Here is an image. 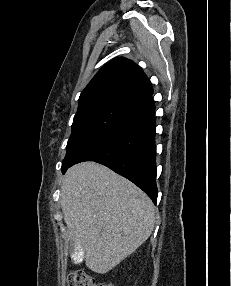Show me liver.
Returning a JSON list of instances; mask_svg holds the SVG:
<instances>
[{"mask_svg": "<svg viewBox=\"0 0 231 286\" xmlns=\"http://www.w3.org/2000/svg\"><path fill=\"white\" fill-rule=\"evenodd\" d=\"M60 203L69 236L86 266L107 273L151 235L155 207L136 185L94 162L71 167L61 185Z\"/></svg>", "mask_w": 231, "mask_h": 286, "instance_id": "liver-1", "label": "liver"}]
</instances>
